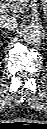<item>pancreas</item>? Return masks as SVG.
Instances as JSON below:
<instances>
[{"label":"pancreas","instance_id":"pancreas-1","mask_svg":"<svg viewBox=\"0 0 47 129\" xmlns=\"http://www.w3.org/2000/svg\"><path fill=\"white\" fill-rule=\"evenodd\" d=\"M17 2L18 10L23 11L27 7L26 2H21V0H14Z\"/></svg>","mask_w":47,"mask_h":129}]
</instances>
